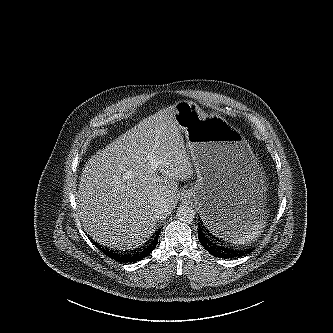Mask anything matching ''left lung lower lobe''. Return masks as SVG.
Instances as JSON below:
<instances>
[{
	"label": "left lung lower lobe",
	"instance_id": "left-lung-lower-lobe-1",
	"mask_svg": "<svg viewBox=\"0 0 333 333\" xmlns=\"http://www.w3.org/2000/svg\"><path fill=\"white\" fill-rule=\"evenodd\" d=\"M216 236L211 230H208L202 222L198 224V239L201 245L213 256L219 258H232L246 254V250L226 247L225 244H223V241H221V238L219 239Z\"/></svg>",
	"mask_w": 333,
	"mask_h": 333
}]
</instances>
